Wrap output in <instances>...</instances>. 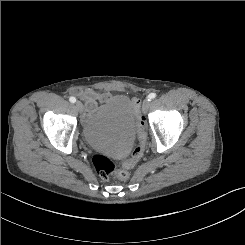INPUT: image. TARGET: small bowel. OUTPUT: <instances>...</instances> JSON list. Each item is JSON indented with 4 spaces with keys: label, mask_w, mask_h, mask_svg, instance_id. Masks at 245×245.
Returning <instances> with one entry per match:
<instances>
[{
    "label": "small bowel",
    "mask_w": 245,
    "mask_h": 245,
    "mask_svg": "<svg viewBox=\"0 0 245 245\" xmlns=\"http://www.w3.org/2000/svg\"><path fill=\"white\" fill-rule=\"evenodd\" d=\"M84 98L86 101L85 116L91 117L96 112L98 104L108 101L110 99V95L107 93L87 91L84 93Z\"/></svg>",
    "instance_id": "obj_1"
}]
</instances>
